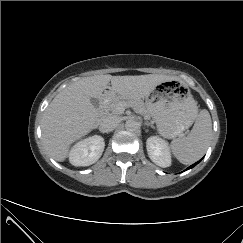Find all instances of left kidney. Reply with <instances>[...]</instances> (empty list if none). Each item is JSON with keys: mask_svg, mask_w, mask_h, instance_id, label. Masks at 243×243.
Returning <instances> with one entry per match:
<instances>
[{"mask_svg": "<svg viewBox=\"0 0 243 243\" xmlns=\"http://www.w3.org/2000/svg\"><path fill=\"white\" fill-rule=\"evenodd\" d=\"M146 148L149 158L156 165L166 168L171 165V154L165 140L151 136L146 141Z\"/></svg>", "mask_w": 243, "mask_h": 243, "instance_id": "obj_1", "label": "left kidney"}]
</instances>
